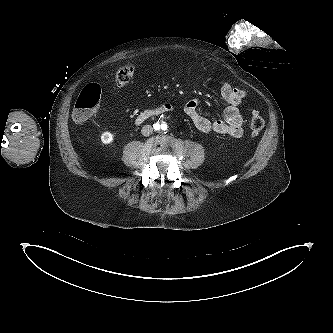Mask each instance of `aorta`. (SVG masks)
Wrapping results in <instances>:
<instances>
[{"label":"aorta","instance_id":"762f6f07","mask_svg":"<svg viewBox=\"0 0 333 333\" xmlns=\"http://www.w3.org/2000/svg\"><path fill=\"white\" fill-rule=\"evenodd\" d=\"M154 127H155V130L160 133H164L165 131H167V124L165 122H161V123L158 122L154 125Z\"/></svg>","mask_w":333,"mask_h":333}]
</instances>
